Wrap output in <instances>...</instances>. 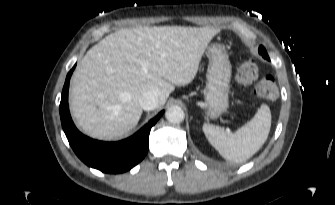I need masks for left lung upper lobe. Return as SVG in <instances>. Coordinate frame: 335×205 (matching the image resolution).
Listing matches in <instances>:
<instances>
[{
    "mask_svg": "<svg viewBox=\"0 0 335 205\" xmlns=\"http://www.w3.org/2000/svg\"><path fill=\"white\" fill-rule=\"evenodd\" d=\"M259 54H261L265 59L269 60L266 49L263 46L259 47Z\"/></svg>",
    "mask_w": 335,
    "mask_h": 205,
    "instance_id": "obj_1",
    "label": "left lung upper lobe"
}]
</instances>
